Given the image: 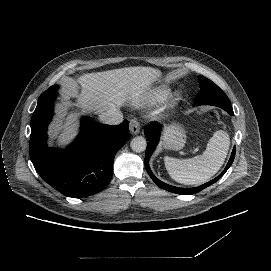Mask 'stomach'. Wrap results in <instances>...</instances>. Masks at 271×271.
I'll list each match as a JSON object with an SVG mask.
<instances>
[{"label":"stomach","mask_w":271,"mask_h":271,"mask_svg":"<svg viewBox=\"0 0 271 271\" xmlns=\"http://www.w3.org/2000/svg\"><path fill=\"white\" fill-rule=\"evenodd\" d=\"M186 143L184 129L177 124L166 127L163 135V146L166 149L181 150Z\"/></svg>","instance_id":"0dacf381"}]
</instances>
